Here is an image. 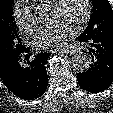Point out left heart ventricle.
Wrapping results in <instances>:
<instances>
[{
    "mask_svg": "<svg viewBox=\"0 0 113 113\" xmlns=\"http://www.w3.org/2000/svg\"><path fill=\"white\" fill-rule=\"evenodd\" d=\"M84 10V0H63L58 8L49 9L47 22L53 23L60 20L75 27L82 18Z\"/></svg>",
    "mask_w": 113,
    "mask_h": 113,
    "instance_id": "obj_1",
    "label": "left heart ventricle"
}]
</instances>
